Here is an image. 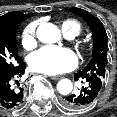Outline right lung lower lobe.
Returning <instances> with one entry per match:
<instances>
[{
    "mask_svg": "<svg viewBox=\"0 0 117 117\" xmlns=\"http://www.w3.org/2000/svg\"><path fill=\"white\" fill-rule=\"evenodd\" d=\"M25 63L22 61L11 68L0 67V109H15L24 102V87L17 82L25 71ZM17 86L13 85V82Z\"/></svg>",
    "mask_w": 117,
    "mask_h": 117,
    "instance_id": "obj_1",
    "label": "right lung lower lobe"
}]
</instances>
